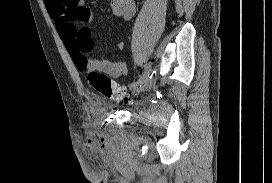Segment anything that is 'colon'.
<instances>
[{
	"label": "colon",
	"instance_id": "5ec220e1",
	"mask_svg": "<svg viewBox=\"0 0 272 183\" xmlns=\"http://www.w3.org/2000/svg\"><path fill=\"white\" fill-rule=\"evenodd\" d=\"M88 81L100 95L109 99L128 100L125 90L117 86L107 75L89 68Z\"/></svg>",
	"mask_w": 272,
	"mask_h": 183
}]
</instances>
